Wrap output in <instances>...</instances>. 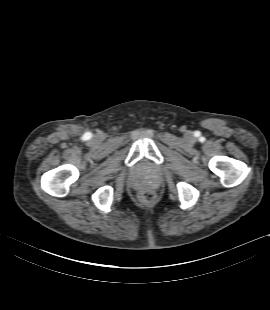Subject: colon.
Wrapping results in <instances>:
<instances>
[{
  "mask_svg": "<svg viewBox=\"0 0 270 310\" xmlns=\"http://www.w3.org/2000/svg\"><path fill=\"white\" fill-rule=\"evenodd\" d=\"M139 198L141 202L148 204V203H151L155 199V193L150 189H144L140 193Z\"/></svg>",
  "mask_w": 270,
  "mask_h": 310,
  "instance_id": "5ec220e1",
  "label": "colon"
}]
</instances>
